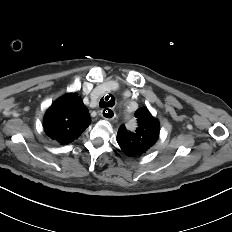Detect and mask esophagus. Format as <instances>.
<instances>
[{
    "label": "esophagus",
    "mask_w": 232,
    "mask_h": 232,
    "mask_svg": "<svg viewBox=\"0 0 232 232\" xmlns=\"http://www.w3.org/2000/svg\"><path fill=\"white\" fill-rule=\"evenodd\" d=\"M100 114L104 119H107V120H112L116 116V113H115L114 109H112V108H103L101 110Z\"/></svg>",
    "instance_id": "1"
}]
</instances>
